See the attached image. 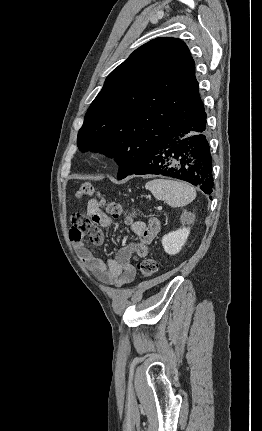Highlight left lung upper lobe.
I'll list each match as a JSON object with an SVG mask.
<instances>
[{"mask_svg": "<svg viewBox=\"0 0 262 431\" xmlns=\"http://www.w3.org/2000/svg\"><path fill=\"white\" fill-rule=\"evenodd\" d=\"M195 64L184 42L156 38L106 78L78 132L79 150L114 158L118 179L159 142L204 111Z\"/></svg>", "mask_w": 262, "mask_h": 431, "instance_id": "1", "label": "left lung upper lobe"}]
</instances>
